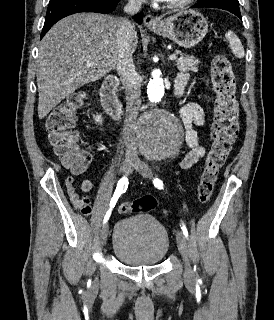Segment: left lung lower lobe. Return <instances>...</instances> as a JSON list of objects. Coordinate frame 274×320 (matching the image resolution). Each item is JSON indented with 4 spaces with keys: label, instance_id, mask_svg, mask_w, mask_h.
Masks as SVG:
<instances>
[{
    "label": "left lung lower lobe",
    "instance_id": "0a47b994",
    "mask_svg": "<svg viewBox=\"0 0 274 320\" xmlns=\"http://www.w3.org/2000/svg\"><path fill=\"white\" fill-rule=\"evenodd\" d=\"M199 7H210V8H220V7H215V6H211V5H205V4H196L194 6H192V8H199ZM220 9H224V8H220ZM228 10L229 12L235 14L236 16H238L241 19V13L240 11H236V10H229V9H225Z\"/></svg>",
    "mask_w": 274,
    "mask_h": 320
}]
</instances>
